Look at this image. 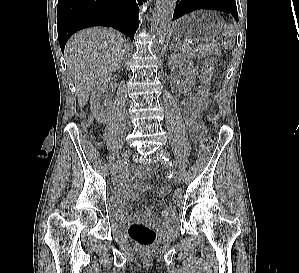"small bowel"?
<instances>
[{
    "label": "small bowel",
    "instance_id": "obj_1",
    "mask_svg": "<svg viewBox=\"0 0 299 273\" xmlns=\"http://www.w3.org/2000/svg\"><path fill=\"white\" fill-rule=\"evenodd\" d=\"M194 104L195 99L191 95H188L182 101L181 110L191 137L197 138L200 131L204 129V126L201 122L200 117L197 116L194 112ZM149 176L150 170L137 169L125 178L121 186L116 191L117 203L122 212L127 213L126 204L134 196V193L132 191V184L136 181L146 179ZM140 188L143 191H147L149 189L148 185L145 183H141ZM169 190L170 188L168 186H164L160 189L159 194L161 196H165L169 192ZM162 214L166 220H170L175 215V209L172 206H166L163 208ZM138 218L144 221H155V217L149 209H144L138 215Z\"/></svg>",
    "mask_w": 299,
    "mask_h": 273
}]
</instances>
